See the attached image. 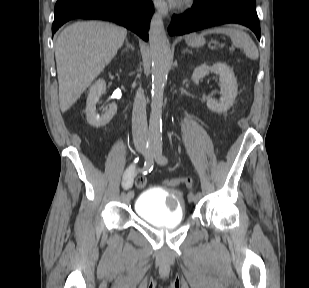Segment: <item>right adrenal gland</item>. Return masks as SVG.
<instances>
[{
	"label": "right adrenal gland",
	"instance_id": "obj_1",
	"mask_svg": "<svg viewBox=\"0 0 309 288\" xmlns=\"http://www.w3.org/2000/svg\"><path fill=\"white\" fill-rule=\"evenodd\" d=\"M129 49L134 51L133 45L128 42V39H126V47L122 50V52L124 53V52L128 51Z\"/></svg>",
	"mask_w": 309,
	"mask_h": 288
}]
</instances>
